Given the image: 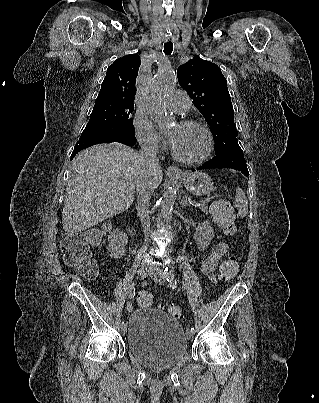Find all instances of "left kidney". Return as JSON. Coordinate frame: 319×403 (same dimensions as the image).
Masks as SVG:
<instances>
[{"instance_id":"obj_1","label":"left kidney","mask_w":319,"mask_h":403,"mask_svg":"<svg viewBox=\"0 0 319 403\" xmlns=\"http://www.w3.org/2000/svg\"><path fill=\"white\" fill-rule=\"evenodd\" d=\"M213 237V229L210 226V222L208 220L198 224V227L194 234V239L199 249L202 248L204 250L205 248H207Z\"/></svg>"}]
</instances>
